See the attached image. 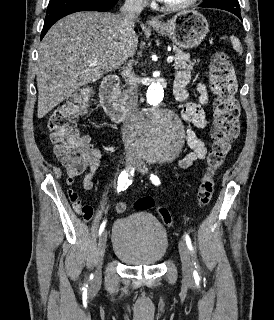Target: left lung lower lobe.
Segmentation results:
<instances>
[{"label":"left lung lower lobe","mask_w":274,"mask_h":320,"mask_svg":"<svg viewBox=\"0 0 274 320\" xmlns=\"http://www.w3.org/2000/svg\"><path fill=\"white\" fill-rule=\"evenodd\" d=\"M199 7H202L201 5ZM231 13H234L237 17H239L241 19V14L240 12H231Z\"/></svg>","instance_id":"0a47b994"}]
</instances>
